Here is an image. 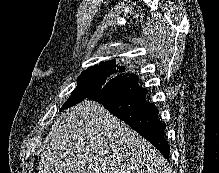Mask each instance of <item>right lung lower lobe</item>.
<instances>
[{
	"instance_id": "98d812e1",
	"label": "right lung lower lobe",
	"mask_w": 219,
	"mask_h": 173,
	"mask_svg": "<svg viewBox=\"0 0 219 173\" xmlns=\"http://www.w3.org/2000/svg\"><path fill=\"white\" fill-rule=\"evenodd\" d=\"M146 94L147 90L138 84L137 76L131 74L119 90L109 94H94L89 99L98 101L169 159L170 147L165 140V124L158 119L156 106L146 101Z\"/></svg>"
}]
</instances>
